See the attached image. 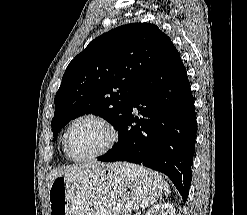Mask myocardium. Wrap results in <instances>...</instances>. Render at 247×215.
<instances>
[{
  "mask_svg": "<svg viewBox=\"0 0 247 215\" xmlns=\"http://www.w3.org/2000/svg\"><path fill=\"white\" fill-rule=\"evenodd\" d=\"M85 120H92V121H95V122L99 123L100 125H102L106 129V131L108 132V141L102 149H100L99 151H97L93 154H90V155H87L84 157H75L68 150V135H69L71 129L74 127V125H76L77 123H79L81 121H85ZM117 139H118L117 130L114 127V125L108 119H106L105 117H103L99 114L87 113V114H83V115L75 118L69 124V126L67 127V129L64 132L62 144H63L64 152L68 158H70L73 161L81 162V161H88V160L97 159V158H100V157L106 155L109 151H111L113 149V147L115 146V144L117 142Z\"/></svg>",
  "mask_w": 247,
  "mask_h": 215,
  "instance_id": "myocardium-1",
  "label": "myocardium"
}]
</instances>
